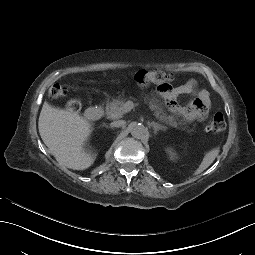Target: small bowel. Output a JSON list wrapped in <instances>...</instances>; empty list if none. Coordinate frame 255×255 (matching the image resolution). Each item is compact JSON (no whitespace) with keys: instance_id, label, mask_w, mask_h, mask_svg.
Returning a JSON list of instances; mask_svg holds the SVG:
<instances>
[{"instance_id":"obj_1","label":"small bowel","mask_w":255,"mask_h":255,"mask_svg":"<svg viewBox=\"0 0 255 255\" xmlns=\"http://www.w3.org/2000/svg\"><path fill=\"white\" fill-rule=\"evenodd\" d=\"M196 88V81L191 79L183 85L173 89L172 91L162 90V92L168 93L171 96H177L180 94L194 93ZM211 104L209 92L202 89L196 93V97L187 105L179 106L172 99L170 100V108L173 112L183 116L188 121L202 120L206 117Z\"/></svg>"}]
</instances>
